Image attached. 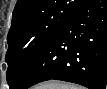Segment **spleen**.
<instances>
[{
	"instance_id": "3e777b00",
	"label": "spleen",
	"mask_w": 107,
	"mask_h": 89,
	"mask_svg": "<svg viewBox=\"0 0 107 89\" xmlns=\"http://www.w3.org/2000/svg\"><path fill=\"white\" fill-rule=\"evenodd\" d=\"M57 89H82L80 86L76 85H68V84H60Z\"/></svg>"
}]
</instances>
